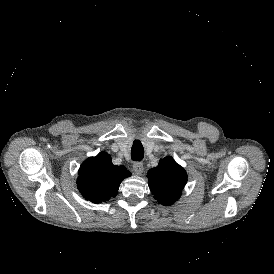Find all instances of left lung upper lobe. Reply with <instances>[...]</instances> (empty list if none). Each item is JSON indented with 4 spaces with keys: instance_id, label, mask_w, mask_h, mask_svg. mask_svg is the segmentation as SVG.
Instances as JSON below:
<instances>
[{
    "instance_id": "left-lung-upper-lobe-1",
    "label": "left lung upper lobe",
    "mask_w": 274,
    "mask_h": 274,
    "mask_svg": "<svg viewBox=\"0 0 274 274\" xmlns=\"http://www.w3.org/2000/svg\"><path fill=\"white\" fill-rule=\"evenodd\" d=\"M148 185L155 199L168 206L180 198L186 182L185 170L171 156L159 161V165L148 171Z\"/></svg>"
}]
</instances>
